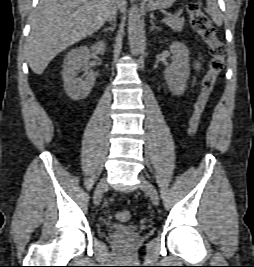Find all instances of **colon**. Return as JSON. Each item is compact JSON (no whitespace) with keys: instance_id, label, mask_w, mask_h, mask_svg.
<instances>
[{"instance_id":"obj_1","label":"colon","mask_w":254,"mask_h":267,"mask_svg":"<svg viewBox=\"0 0 254 267\" xmlns=\"http://www.w3.org/2000/svg\"><path fill=\"white\" fill-rule=\"evenodd\" d=\"M189 23L192 30L207 45L209 54V68L201 82V92L195 104L194 112L189 122L188 132L195 135L198 131L201 118L208 104L209 98L215 87L217 78L221 73L226 56L225 45L217 38L215 28L210 18L202 10L200 3L191 2L188 7ZM128 210L119 211L117 218L126 222L130 219Z\"/></svg>"}]
</instances>
